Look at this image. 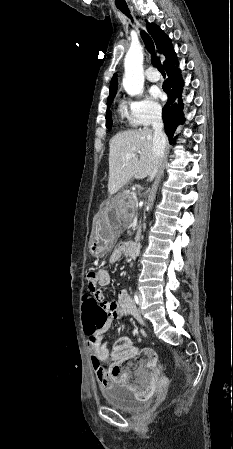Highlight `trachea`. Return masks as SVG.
Segmentation results:
<instances>
[{
	"instance_id": "obj_1",
	"label": "trachea",
	"mask_w": 233,
	"mask_h": 449,
	"mask_svg": "<svg viewBox=\"0 0 233 449\" xmlns=\"http://www.w3.org/2000/svg\"><path fill=\"white\" fill-rule=\"evenodd\" d=\"M117 8L122 13H124L126 16L131 18L130 11H129L127 6H117ZM141 37H142V39H143V41L145 43V46H146L148 52L151 54V62H152V64L158 69V71H160L162 74H165V71H164V69L162 67L161 61L155 54V48H154V43H153L152 39L143 30L141 31Z\"/></svg>"
}]
</instances>
